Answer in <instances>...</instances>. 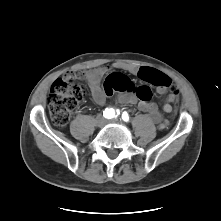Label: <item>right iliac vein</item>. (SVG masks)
<instances>
[{
    "instance_id": "63e3f726",
    "label": "right iliac vein",
    "mask_w": 221,
    "mask_h": 221,
    "mask_svg": "<svg viewBox=\"0 0 221 221\" xmlns=\"http://www.w3.org/2000/svg\"><path fill=\"white\" fill-rule=\"evenodd\" d=\"M105 122V119L102 115H98L97 118H96V124L98 126H102Z\"/></svg>"
}]
</instances>
